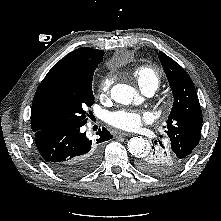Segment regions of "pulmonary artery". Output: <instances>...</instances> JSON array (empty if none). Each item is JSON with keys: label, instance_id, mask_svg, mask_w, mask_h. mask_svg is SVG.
Instances as JSON below:
<instances>
[{"label": "pulmonary artery", "instance_id": "1", "mask_svg": "<svg viewBox=\"0 0 221 221\" xmlns=\"http://www.w3.org/2000/svg\"><path fill=\"white\" fill-rule=\"evenodd\" d=\"M142 92L147 96H152L155 92L154 88H144L142 89Z\"/></svg>", "mask_w": 221, "mask_h": 221}]
</instances>
